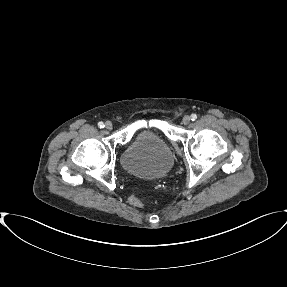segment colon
<instances>
[{
  "instance_id": "5ec220e1",
  "label": "colon",
  "mask_w": 287,
  "mask_h": 287,
  "mask_svg": "<svg viewBox=\"0 0 287 287\" xmlns=\"http://www.w3.org/2000/svg\"><path fill=\"white\" fill-rule=\"evenodd\" d=\"M150 196L147 191L135 189L130 197L129 202L136 207H143L149 202Z\"/></svg>"
}]
</instances>
